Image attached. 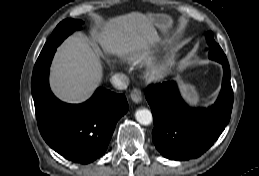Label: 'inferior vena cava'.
<instances>
[{
	"label": "inferior vena cava",
	"instance_id": "inferior-vena-cava-1",
	"mask_svg": "<svg viewBox=\"0 0 259 176\" xmlns=\"http://www.w3.org/2000/svg\"><path fill=\"white\" fill-rule=\"evenodd\" d=\"M112 85L119 90H124L129 85V78L123 73H117L111 78Z\"/></svg>",
	"mask_w": 259,
	"mask_h": 176
}]
</instances>
